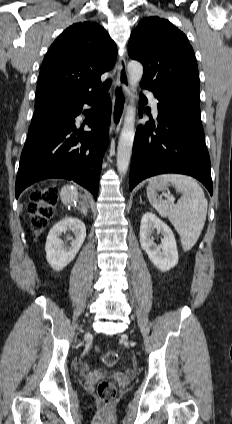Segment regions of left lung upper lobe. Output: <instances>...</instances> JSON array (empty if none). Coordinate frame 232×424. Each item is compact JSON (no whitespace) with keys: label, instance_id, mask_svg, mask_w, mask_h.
I'll list each match as a JSON object with an SVG mask.
<instances>
[{"label":"left lung upper lobe","instance_id":"1","mask_svg":"<svg viewBox=\"0 0 232 424\" xmlns=\"http://www.w3.org/2000/svg\"><path fill=\"white\" fill-rule=\"evenodd\" d=\"M128 53L143 64L140 85L155 94L199 96V74L187 37L166 19L148 17L133 30Z\"/></svg>","mask_w":232,"mask_h":424}]
</instances>
